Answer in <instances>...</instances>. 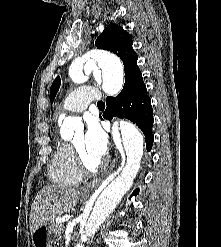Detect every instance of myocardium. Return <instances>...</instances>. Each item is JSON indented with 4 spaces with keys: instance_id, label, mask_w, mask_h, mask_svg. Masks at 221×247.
Listing matches in <instances>:
<instances>
[{
    "instance_id": "f54148a6",
    "label": "myocardium",
    "mask_w": 221,
    "mask_h": 247,
    "mask_svg": "<svg viewBox=\"0 0 221 247\" xmlns=\"http://www.w3.org/2000/svg\"><path fill=\"white\" fill-rule=\"evenodd\" d=\"M70 146L74 153L78 167L82 173L87 175L95 174L99 169L103 167V159L98 160L95 164H89L73 143L70 144Z\"/></svg>"
}]
</instances>
